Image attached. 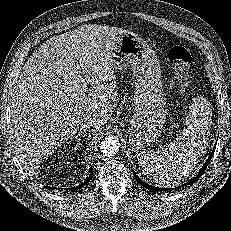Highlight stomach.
Returning a JSON list of instances; mask_svg holds the SVG:
<instances>
[{
  "instance_id": "0dacf381",
  "label": "stomach",
  "mask_w": 231,
  "mask_h": 231,
  "mask_svg": "<svg viewBox=\"0 0 231 231\" xmlns=\"http://www.w3.org/2000/svg\"><path fill=\"white\" fill-rule=\"evenodd\" d=\"M111 58L114 71L131 67L134 73L135 108L128 130L129 142L134 150L145 148L155 141L166 119L157 55L142 38L129 31L115 42Z\"/></svg>"
}]
</instances>
